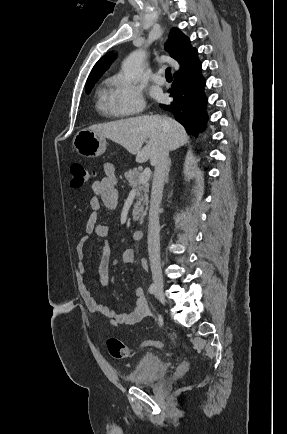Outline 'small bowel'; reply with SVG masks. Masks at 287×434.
Returning a JSON list of instances; mask_svg holds the SVG:
<instances>
[{"mask_svg":"<svg viewBox=\"0 0 287 434\" xmlns=\"http://www.w3.org/2000/svg\"><path fill=\"white\" fill-rule=\"evenodd\" d=\"M93 195L89 200V206L92 214L88 218L84 234L79 239L76 251L79 256V262L76 267V283L79 294L84 299L88 310L92 313L101 314L108 318L112 326L118 325H135L144 320L149 315L144 291L141 286L135 289V307L129 313H119L109 306L101 303L93 295L86 283L87 267L84 261L85 245L90 236L96 235L103 240L102 255L98 266V282L105 286L109 280L111 251L110 236L111 231L107 225L98 222L99 212L105 208L108 210L115 209L118 203L117 193V176L114 166L106 164L104 166L103 178L96 180L91 185ZM125 264H132L135 260V254L132 249H125L121 255Z\"/></svg>","mask_w":287,"mask_h":434,"instance_id":"1","label":"small bowel"}]
</instances>
